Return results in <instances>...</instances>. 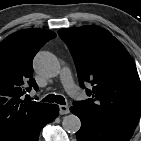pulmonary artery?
<instances>
[{
	"mask_svg": "<svg viewBox=\"0 0 141 141\" xmlns=\"http://www.w3.org/2000/svg\"><path fill=\"white\" fill-rule=\"evenodd\" d=\"M61 81L65 90L73 97L77 98L80 96V91L75 85L71 72L68 67H63L61 70Z\"/></svg>",
	"mask_w": 141,
	"mask_h": 141,
	"instance_id": "obj_1",
	"label": "pulmonary artery"
}]
</instances>
